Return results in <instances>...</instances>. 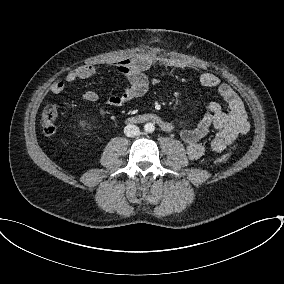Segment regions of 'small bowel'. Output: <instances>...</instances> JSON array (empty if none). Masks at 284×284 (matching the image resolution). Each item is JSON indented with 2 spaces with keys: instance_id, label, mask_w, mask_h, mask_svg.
Wrapping results in <instances>:
<instances>
[{
  "instance_id": "c3829d8e",
  "label": "small bowel",
  "mask_w": 284,
  "mask_h": 284,
  "mask_svg": "<svg viewBox=\"0 0 284 284\" xmlns=\"http://www.w3.org/2000/svg\"><path fill=\"white\" fill-rule=\"evenodd\" d=\"M112 66L125 80L123 93L111 96L106 100V103L113 107L122 106L135 98L145 95L151 85L158 83L156 79H150L146 75L148 70L152 68L180 67L179 64L168 59L151 55H139L132 59L114 63ZM95 74L96 68L93 65L78 66L70 71L63 81L55 82L51 86V92L55 95L61 94L66 84L77 79L91 78ZM198 79L202 86L217 90L227 104V110H224L217 102H210L206 106L204 116L196 127L181 130L180 137L191 160H197L203 156L205 152L203 141L208 138L211 131L215 133L209 139L210 146L213 151L222 153L250 129L245 105L230 85L222 82L217 75L209 72L199 73ZM83 100L89 103L96 102L98 100L96 90L94 88L87 89L83 94Z\"/></svg>"
}]
</instances>
